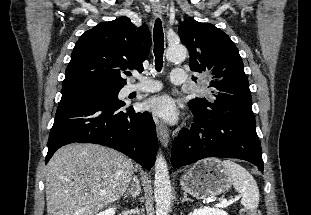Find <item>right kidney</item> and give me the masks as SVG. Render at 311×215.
Listing matches in <instances>:
<instances>
[{
	"label": "right kidney",
	"instance_id": "ca27d5eb",
	"mask_svg": "<svg viewBox=\"0 0 311 215\" xmlns=\"http://www.w3.org/2000/svg\"><path fill=\"white\" fill-rule=\"evenodd\" d=\"M115 210L116 208L115 207H110L102 212H100L99 214L97 215H115Z\"/></svg>",
	"mask_w": 311,
	"mask_h": 215
}]
</instances>
